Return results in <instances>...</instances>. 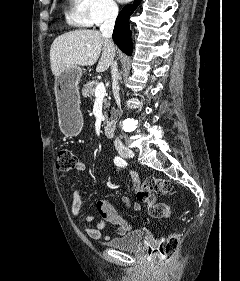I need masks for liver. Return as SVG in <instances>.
I'll return each mask as SVG.
<instances>
[{
    "instance_id": "6515ba94",
    "label": "liver",
    "mask_w": 240,
    "mask_h": 281,
    "mask_svg": "<svg viewBox=\"0 0 240 281\" xmlns=\"http://www.w3.org/2000/svg\"><path fill=\"white\" fill-rule=\"evenodd\" d=\"M115 52L114 43L108 42L98 30L70 31L58 36L51 45V71L58 76L64 67L94 65L101 54L96 71L103 72L111 66Z\"/></svg>"
}]
</instances>
